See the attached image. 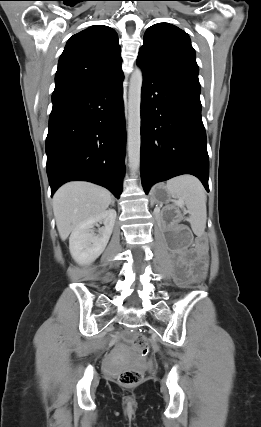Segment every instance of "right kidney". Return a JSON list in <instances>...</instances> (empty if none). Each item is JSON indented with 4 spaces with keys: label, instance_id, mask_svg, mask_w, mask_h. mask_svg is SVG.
Masks as SVG:
<instances>
[{
    "label": "right kidney",
    "instance_id": "1",
    "mask_svg": "<svg viewBox=\"0 0 261 427\" xmlns=\"http://www.w3.org/2000/svg\"><path fill=\"white\" fill-rule=\"evenodd\" d=\"M116 215L114 209H109L74 228L69 238V249L78 264H90L101 255L112 234ZM98 222L103 223L104 227L96 235L94 226Z\"/></svg>",
    "mask_w": 261,
    "mask_h": 427
}]
</instances>
